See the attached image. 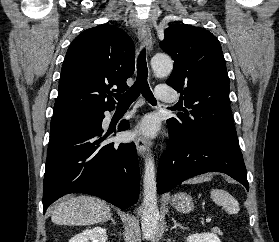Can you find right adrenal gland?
<instances>
[{"instance_id": "2a0ac1e0", "label": "right adrenal gland", "mask_w": 279, "mask_h": 242, "mask_svg": "<svg viewBox=\"0 0 279 242\" xmlns=\"http://www.w3.org/2000/svg\"><path fill=\"white\" fill-rule=\"evenodd\" d=\"M113 215L110 213L109 215H108V218L106 219V220H104V222H107L108 220H110L113 224H116V222H115V220H114V218L112 217Z\"/></svg>"}]
</instances>
